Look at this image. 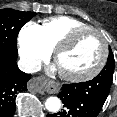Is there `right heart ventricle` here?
Masks as SVG:
<instances>
[{"mask_svg":"<svg viewBox=\"0 0 117 117\" xmlns=\"http://www.w3.org/2000/svg\"><path fill=\"white\" fill-rule=\"evenodd\" d=\"M39 27L44 43L50 50H52L70 31L90 26L73 17L55 16L43 20Z\"/></svg>","mask_w":117,"mask_h":117,"instance_id":"e07e8e85","label":"right heart ventricle"}]
</instances>
